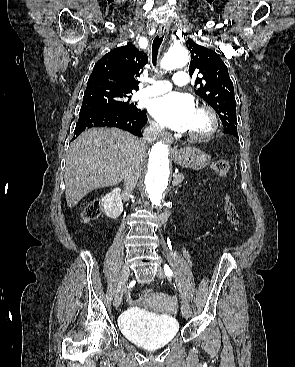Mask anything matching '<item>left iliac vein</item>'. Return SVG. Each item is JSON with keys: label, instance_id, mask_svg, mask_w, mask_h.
Instances as JSON below:
<instances>
[{"label": "left iliac vein", "instance_id": "obj_1", "mask_svg": "<svg viewBox=\"0 0 295 367\" xmlns=\"http://www.w3.org/2000/svg\"><path fill=\"white\" fill-rule=\"evenodd\" d=\"M156 275L159 278H165V273H164V270H163L162 267L159 266L157 268ZM181 313H182V315H183L184 318H188L189 317L188 308H187V306L184 303L181 306Z\"/></svg>", "mask_w": 295, "mask_h": 367}]
</instances>
